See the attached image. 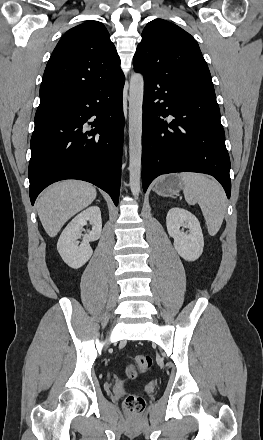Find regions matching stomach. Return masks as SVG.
<instances>
[{"label":"stomach","instance_id":"obj_1","mask_svg":"<svg viewBox=\"0 0 263 440\" xmlns=\"http://www.w3.org/2000/svg\"><path fill=\"white\" fill-rule=\"evenodd\" d=\"M183 189V183L178 174L166 175L160 177L154 184V191L164 197H171Z\"/></svg>","mask_w":263,"mask_h":440}]
</instances>
